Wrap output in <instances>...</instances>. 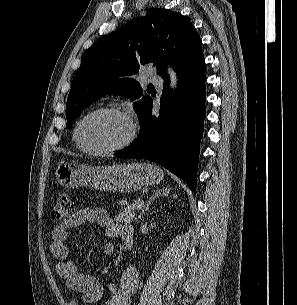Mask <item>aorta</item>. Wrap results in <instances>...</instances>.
Masks as SVG:
<instances>
[{
  "label": "aorta",
  "instance_id": "1",
  "mask_svg": "<svg viewBox=\"0 0 297 305\" xmlns=\"http://www.w3.org/2000/svg\"><path fill=\"white\" fill-rule=\"evenodd\" d=\"M167 73L170 77V88L172 91H175L177 89L178 86V77L176 72L171 68V67H167Z\"/></svg>",
  "mask_w": 297,
  "mask_h": 305
}]
</instances>
